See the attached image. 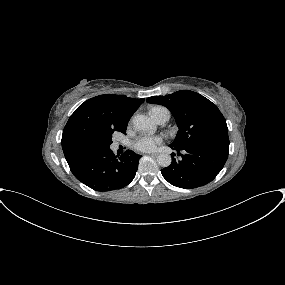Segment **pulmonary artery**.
I'll return each mask as SVG.
<instances>
[{"instance_id": "1", "label": "pulmonary artery", "mask_w": 285, "mask_h": 285, "mask_svg": "<svg viewBox=\"0 0 285 285\" xmlns=\"http://www.w3.org/2000/svg\"><path fill=\"white\" fill-rule=\"evenodd\" d=\"M170 118V114L167 112H160L158 113L155 117L154 120L156 121V123L163 125L165 124Z\"/></svg>"}]
</instances>
